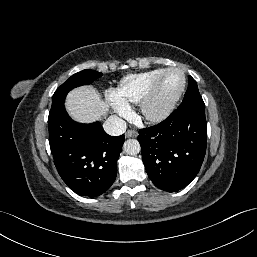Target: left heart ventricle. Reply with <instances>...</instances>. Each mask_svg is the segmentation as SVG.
Segmentation results:
<instances>
[{
	"label": "left heart ventricle",
	"instance_id": "b2bd125f",
	"mask_svg": "<svg viewBox=\"0 0 257 257\" xmlns=\"http://www.w3.org/2000/svg\"><path fill=\"white\" fill-rule=\"evenodd\" d=\"M183 78L178 72L168 73L162 81L158 97L157 104L163 105L174 98L180 91Z\"/></svg>",
	"mask_w": 257,
	"mask_h": 257
}]
</instances>
